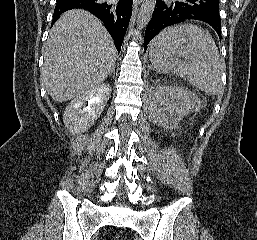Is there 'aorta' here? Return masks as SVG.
<instances>
[{
    "instance_id": "aorta-1",
    "label": "aorta",
    "mask_w": 257,
    "mask_h": 240,
    "mask_svg": "<svg viewBox=\"0 0 257 240\" xmlns=\"http://www.w3.org/2000/svg\"><path fill=\"white\" fill-rule=\"evenodd\" d=\"M156 0H143L137 18V32L142 30L150 21Z\"/></svg>"
}]
</instances>
